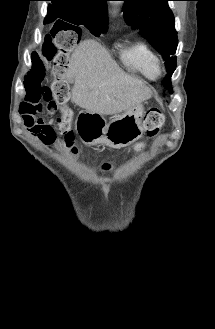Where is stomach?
Returning a JSON list of instances; mask_svg holds the SVG:
<instances>
[{"label":"stomach","instance_id":"0dacf381","mask_svg":"<svg viewBox=\"0 0 215 329\" xmlns=\"http://www.w3.org/2000/svg\"><path fill=\"white\" fill-rule=\"evenodd\" d=\"M143 112V105L137 103L123 114L114 116L109 123L97 130L98 136L93 139L92 143L120 149L139 140L143 135Z\"/></svg>","mask_w":215,"mask_h":329}]
</instances>
